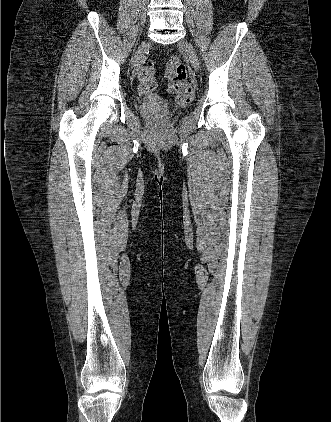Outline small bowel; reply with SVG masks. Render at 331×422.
Wrapping results in <instances>:
<instances>
[{"mask_svg":"<svg viewBox=\"0 0 331 422\" xmlns=\"http://www.w3.org/2000/svg\"><path fill=\"white\" fill-rule=\"evenodd\" d=\"M137 71H138V76L140 78L139 92L142 95H148L154 89L155 83H154L153 79L147 80V79L143 78L140 74V71L139 70H137Z\"/></svg>","mask_w":331,"mask_h":422,"instance_id":"small-bowel-1","label":"small bowel"}]
</instances>
